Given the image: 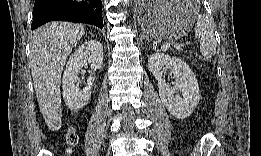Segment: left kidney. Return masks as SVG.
Returning <instances> with one entry per match:
<instances>
[{
  "mask_svg": "<svg viewBox=\"0 0 261 156\" xmlns=\"http://www.w3.org/2000/svg\"><path fill=\"white\" fill-rule=\"evenodd\" d=\"M148 68L158 81L159 96L167 110L177 119L190 116L200 101V94L196 76L187 63L174 56L156 53L149 58ZM165 68L171 69L176 83L174 87L163 79Z\"/></svg>",
  "mask_w": 261,
  "mask_h": 156,
  "instance_id": "left-kidney-1",
  "label": "left kidney"
}]
</instances>
